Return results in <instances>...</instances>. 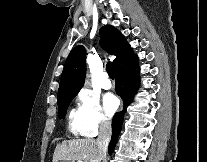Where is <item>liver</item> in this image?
<instances>
[{"instance_id":"6515ba94","label":"liver","mask_w":207,"mask_h":162,"mask_svg":"<svg viewBox=\"0 0 207 162\" xmlns=\"http://www.w3.org/2000/svg\"><path fill=\"white\" fill-rule=\"evenodd\" d=\"M98 162L99 150L95 139H73L63 141L54 150L53 161Z\"/></svg>"}]
</instances>
